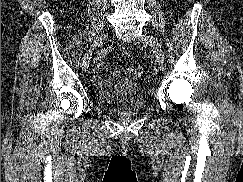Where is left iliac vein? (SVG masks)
<instances>
[{
  "mask_svg": "<svg viewBox=\"0 0 243 182\" xmlns=\"http://www.w3.org/2000/svg\"><path fill=\"white\" fill-rule=\"evenodd\" d=\"M140 41H142L143 43H146L148 45H150L156 55L157 58V62L158 64H163L164 62V52H163V48L161 46V44L159 43V41L157 40L156 37L152 36V35H142L140 37Z\"/></svg>",
  "mask_w": 243,
  "mask_h": 182,
  "instance_id": "obj_1",
  "label": "left iliac vein"
}]
</instances>
